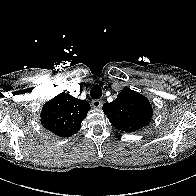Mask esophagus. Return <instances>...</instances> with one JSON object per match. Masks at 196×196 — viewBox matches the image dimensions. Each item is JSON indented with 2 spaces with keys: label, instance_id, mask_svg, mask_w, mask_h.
Returning a JSON list of instances; mask_svg holds the SVG:
<instances>
[{
  "label": "esophagus",
  "instance_id": "1",
  "mask_svg": "<svg viewBox=\"0 0 196 196\" xmlns=\"http://www.w3.org/2000/svg\"><path fill=\"white\" fill-rule=\"evenodd\" d=\"M102 100L96 99L91 102L93 108H101L102 107Z\"/></svg>",
  "mask_w": 196,
  "mask_h": 196
}]
</instances>
